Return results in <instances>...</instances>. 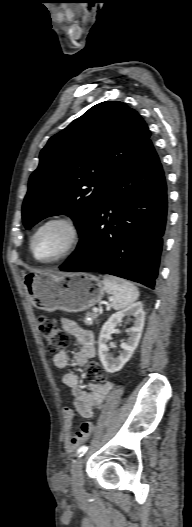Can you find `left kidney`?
<instances>
[{"mask_svg": "<svg viewBox=\"0 0 192 527\" xmlns=\"http://www.w3.org/2000/svg\"><path fill=\"white\" fill-rule=\"evenodd\" d=\"M125 316H134V325L127 330L129 338L126 342L121 344L122 352L118 358L114 359L108 353L107 343L111 339V333L113 329L118 323L122 322V319ZM144 321L145 313L143 311V305L142 303L137 302L123 309L122 311L111 315V317L104 323L99 335L98 351L100 361L107 372L115 373L120 371L130 360L139 344L144 327Z\"/></svg>", "mask_w": 192, "mask_h": 527, "instance_id": "1", "label": "left kidney"}]
</instances>
